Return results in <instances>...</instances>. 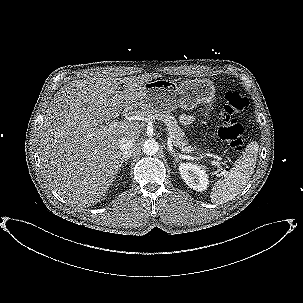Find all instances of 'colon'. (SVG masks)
<instances>
[{
    "mask_svg": "<svg viewBox=\"0 0 303 303\" xmlns=\"http://www.w3.org/2000/svg\"><path fill=\"white\" fill-rule=\"evenodd\" d=\"M248 98L239 92L230 90L225 94L224 107L220 114L221 126L219 136L234 151H239L243 144L244 129L238 116L249 108Z\"/></svg>",
    "mask_w": 303,
    "mask_h": 303,
    "instance_id": "colon-1",
    "label": "colon"
}]
</instances>
